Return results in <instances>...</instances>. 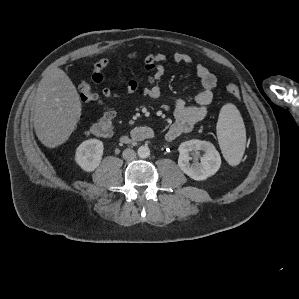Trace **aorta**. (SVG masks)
<instances>
[{
	"instance_id": "1",
	"label": "aorta",
	"mask_w": 299,
	"mask_h": 299,
	"mask_svg": "<svg viewBox=\"0 0 299 299\" xmlns=\"http://www.w3.org/2000/svg\"><path fill=\"white\" fill-rule=\"evenodd\" d=\"M137 153L140 158H147L150 155V149L148 146H140Z\"/></svg>"
}]
</instances>
